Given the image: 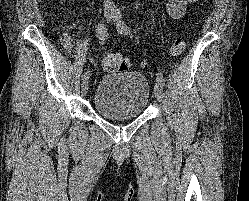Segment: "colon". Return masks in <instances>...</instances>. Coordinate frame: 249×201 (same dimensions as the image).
<instances>
[{
	"instance_id": "obj_1",
	"label": "colon",
	"mask_w": 249,
	"mask_h": 201,
	"mask_svg": "<svg viewBox=\"0 0 249 201\" xmlns=\"http://www.w3.org/2000/svg\"><path fill=\"white\" fill-rule=\"evenodd\" d=\"M185 46H186L185 40L182 38H177L173 42L170 48V52L174 56L180 55L185 50ZM129 66L130 63L128 59H126L120 54L108 53L104 56L103 67L106 70L125 71L129 68Z\"/></svg>"
}]
</instances>
